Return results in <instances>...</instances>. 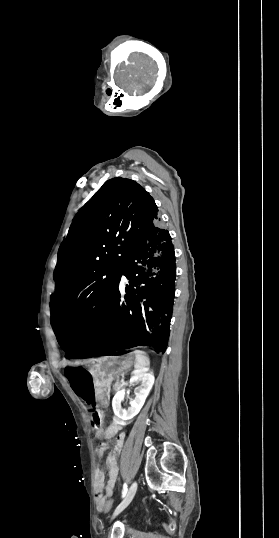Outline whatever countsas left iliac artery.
<instances>
[{
	"label": "left iliac artery",
	"instance_id": "44dca946",
	"mask_svg": "<svg viewBox=\"0 0 279 538\" xmlns=\"http://www.w3.org/2000/svg\"><path fill=\"white\" fill-rule=\"evenodd\" d=\"M127 490H128V489H127V484L125 483V484L123 485V489H122V497H124V496L126 495Z\"/></svg>",
	"mask_w": 279,
	"mask_h": 538
}]
</instances>
